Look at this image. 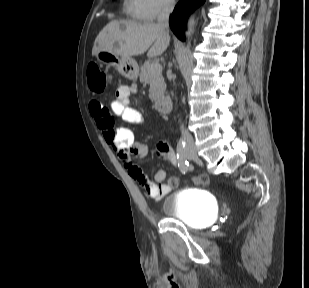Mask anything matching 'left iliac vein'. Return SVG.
<instances>
[{"label": "left iliac vein", "instance_id": "4c4485c4", "mask_svg": "<svg viewBox=\"0 0 309 288\" xmlns=\"http://www.w3.org/2000/svg\"><path fill=\"white\" fill-rule=\"evenodd\" d=\"M192 150H193V153H192V154H187V151H188V150L185 152V156H186L188 159H190V160H193V159H195V158L197 157L195 150H194V149H192Z\"/></svg>", "mask_w": 309, "mask_h": 288}]
</instances>
